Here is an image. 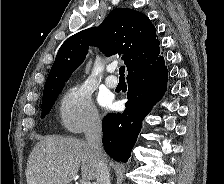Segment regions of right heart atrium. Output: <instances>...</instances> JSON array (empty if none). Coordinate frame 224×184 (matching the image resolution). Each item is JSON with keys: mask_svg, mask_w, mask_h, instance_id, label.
I'll return each instance as SVG.
<instances>
[{"mask_svg": "<svg viewBox=\"0 0 224 184\" xmlns=\"http://www.w3.org/2000/svg\"><path fill=\"white\" fill-rule=\"evenodd\" d=\"M59 118L63 127L72 133L96 129L101 124L91 94L83 84L73 85L64 92L59 104Z\"/></svg>", "mask_w": 224, "mask_h": 184, "instance_id": "d8ad5b80", "label": "right heart atrium"}]
</instances>
